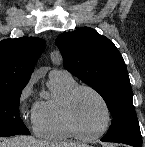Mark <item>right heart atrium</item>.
Listing matches in <instances>:
<instances>
[{
	"label": "right heart atrium",
	"instance_id": "1",
	"mask_svg": "<svg viewBox=\"0 0 145 147\" xmlns=\"http://www.w3.org/2000/svg\"><path fill=\"white\" fill-rule=\"evenodd\" d=\"M32 86L30 83L26 84L21 90L18 98V110L24 122L29 126H34L35 122V105L29 107L28 101L31 95Z\"/></svg>",
	"mask_w": 145,
	"mask_h": 147
}]
</instances>
